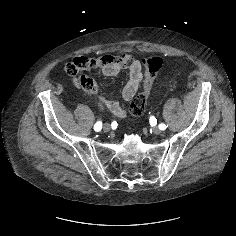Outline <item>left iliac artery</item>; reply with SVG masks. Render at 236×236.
Listing matches in <instances>:
<instances>
[{
	"mask_svg": "<svg viewBox=\"0 0 236 236\" xmlns=\"http://www.w3.org/2000/svg\"><path fill=\"white\" fill-rule=\"evenodd\" d=\"M159 128H160L161 130H165V129L167 128V126H166V124L161 123V124H159Z\"/></svg>",
	"mask_w": 236,
	"mask_h": 236,
	"instance_id": "left-iliac-artery-1",
	"label": "left iliac artery"
}]
</instances>
